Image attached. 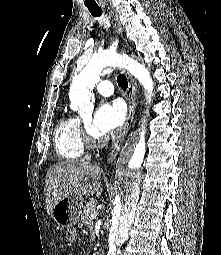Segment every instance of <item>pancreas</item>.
Here are the masks:
<instances>
[{"label": "pancreas", "mask_w": 221, "mask_h": 255, "mask_svg": "<svg viewBox=\"0 0 221 255\" xmlns=\"http://www.w3.org/2000/svg\"><path fill=\"white\" fill-rule=\"evenodd\" d=\"M95 202L96 200L94 198H90L85 204L84 212L81 217V221L85 225H90L96 218V216H92L93 212L96 211Z\"/></svg>", "instance_id": "cf45deb5"}]
</instances>
